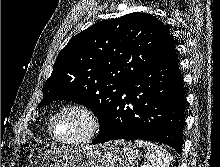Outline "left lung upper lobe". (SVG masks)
I'll return each instance as SVG.
<instances>
[{
  "label": "left lung upper lobe",
  "instance_id": "left-lung-upper-lobe-1",
  "mask_svg": "<svg viewBox=\"0 0 220 167\" xmlns=\"http://www.w3.org/2000/svg\"><path fill=\"white\" fill-rule=\"evenodd\" d=\"M173 51L169 28L151 14L134 12L96 23L59 53L38 107L55 100L83 104L101 129L128 81Z\"/></svg>",
  "mask_w": 220,
  "mask_h": 167
}]
</instances>
